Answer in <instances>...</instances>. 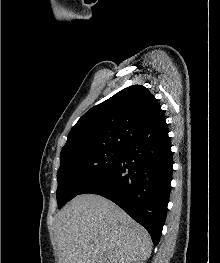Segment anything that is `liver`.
<instances>
[{
  "instance_id": "1",
  "label": "liver",
  "mask_w": 220,
  "mask_h": 263,
  "mask_svg": "<svg viewBox=\"0 0 220 263\" xmlns=\"http://www.w3.org/2000/svg\"><path fill=\"white\" fill-rule=\"evenodd\" d=\"M59 263H131L152 251L149 233L110 200L82 194L54 221Z\"/></svg>"
}]
</instances>
